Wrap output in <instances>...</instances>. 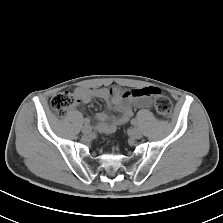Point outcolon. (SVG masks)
Returning a JSON list of instances; mask_svg holds the SVG:
<instances>
[{
    "label": "colon",
    "instance_id": "1",
    "mask_svg": "<svg viewBox=\"0 0 223 223\" xmlns=\"http://www.w3.org/2000/svg\"><path fill=\"white\" fill-rule=\"evenodd\" d=\"M153 94H155L154 107L156 113L160 117L168 119L172 113L171 102L169 98L157 93L156 91H154ZM76 104V97L69 92H59L51 99V107L59 115L65 114L68 109L72 108Z\"/></svg>",
    "mask_w": 223,
    "mask_h": 223
}]
</instances>
